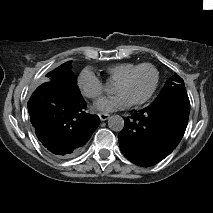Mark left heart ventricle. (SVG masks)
<instances>
[{"label":"left heart ventricle","instance_id":"1","mask_svg":"<svg viewBox=\"0 0 213 213\" xmlns=\"http://www.w3.org/2000/svg\"><path fill=\"white\" fill-rule=\"evenodd\" d=\"M153 82V73L144 69L136 73L128 82L115 84L114 91L125 96L129 101L144 96L150 89Z\"/></svg>","mask_w":213,"mask_h":213}]
</instances>
